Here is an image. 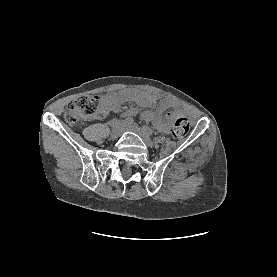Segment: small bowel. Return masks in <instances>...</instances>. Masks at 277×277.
<instances>
[{"mask_svg": "<svg viewBox=\"0 0 277 277\" xmlns=\"http://www.w3.org/2000/svg\"><path fill=\"white\" fill-rule=\"evenodd\" d=\"M102 113L100 117H104L111 112H116L125 102H134L138 105L155 107L154 110H144L140 113L141 117L152 122V124L160 131L168 132L175 120L176 114L168 112L167 110L173 107V103L167 98H160L159 95L153 91H140L130 89L121 94L107 93L101 97ZM139 113L137 107L127 109L122 115L124 117L135 116Z\"/></svg>", "mask_w": 277, "mask_h": 277, "instance_id": "obj_1", "label": "small bowel"}]
</instances>
